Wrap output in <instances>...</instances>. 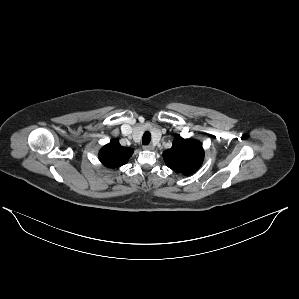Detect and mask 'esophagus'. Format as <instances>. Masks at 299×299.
I'll use <instances>...</instances> for the list:
<instances>
[{
    "label": "esophagus",
    "instance_id": "34e87169",
    "mask_svg": "<svg viewBox=\"0 0 299 299\" xmlns=\"http://www.w3.org/2000/svg\"><path fill=\"white\" fill-rule=\"evenodd\" d=\"M143 148H144L145 150H153V149H154V146L151 145V144H149V145H145Z\"/></svg>",
    "mask_w": 299,
    "mask_h": 299
}]
</instances>
